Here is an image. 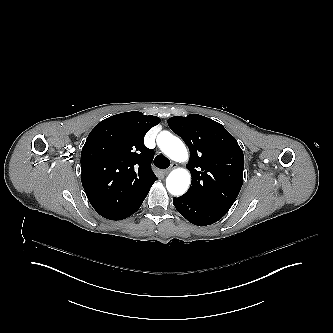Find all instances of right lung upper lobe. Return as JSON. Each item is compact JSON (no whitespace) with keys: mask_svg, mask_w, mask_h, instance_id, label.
<instances>
[{"mask_svg":"<svg viewBox=\"0 0 333 333\" xmlns=\"http://www.w3.org/2000/svg\"><path fill=\"white\" fill-rule=\"evenodd\" d=\"M160 118L131 111L101 121L89 134L81 152V169L102 164L117 177L153 173L154 151L144 145L145 134Z\"/></svg>","mask_w":333,"mask_h":333,"instance_id":"cb5924a9","label":"right lung upper lobe"}]
</instances>
